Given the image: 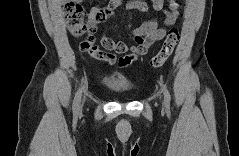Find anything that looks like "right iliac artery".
Masks as SVG:
<instances>
[{
	"label": "right iliac artery",
	"mask_w": 239,
	"mask_h": 156,
	"mask_svg": "<svg viewBox=\"0 0 239 156\" xmlns=\"http://www.w3.org/2000/svg\"><path fill=\"white\" fill-rule=\"evenodd\" d=\"M81 96H82V89H79L76 92V95H75V98L73 101V113L74 114L78 113V111H79Z\"/></svg>",
	"instance_id": "1"
}]
</instances>
